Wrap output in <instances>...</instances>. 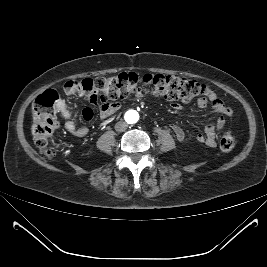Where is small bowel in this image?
<instances>
[{"label":"small bowel","instance_id":"1","mask_svg":"<svg viewBox=\"0 0 267 267\" xmlns=\"http://www.w3.org/2000/svg\"><path fill=\"white\" fill-rule=\"evenodd\" d=\"M74 82L75 81L73 80L68 81L64 84V93L66 95H80L89 98L88 93L82 88L75 86ZM197 105L203 109L210 105L213 111L220 115L216 125L212 123L206 125L204 133H199L196 136V139L199 143L205 144L209 147H214L216 146L217 133L224 129V127L227 125L229 119L233 114L232 109L222 100H220L216 93L211 90H208L206 95L200 96L198 98ZM173 106L177 110L182 109V106L180 104H174ZM119 108L120 105L114 102L101 104L99 115L102 119L110 118L117 113ZM57 110L65 121L64 128L68 133L75 137H85L88 134L89 130L87 127L77 126L75 124L72 119V112L64 100H59V102L57 103ZM82 118L86 122L90 121L93 118V110L89 107L84 108L82 111ZM171 128L178 141L184 142L187 140L188 132L185 128L177 124H173Z\"/></svg>","mask_w":267,"mask_h":267}]
</instances>
